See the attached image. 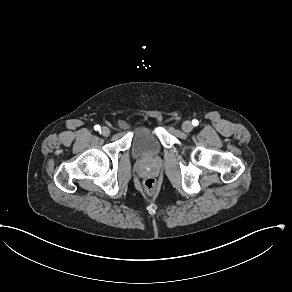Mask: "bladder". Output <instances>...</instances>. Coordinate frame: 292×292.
<instances>
[{"mask_svg":"<svg viewBox=\"0 0 292 292\" xmlns=\"http://www.w3.org/2000/svg\"><path fill=\"white\" fill-rule=\"evenodd\" d=\"M120 128L132 130L131 152L135 157H147L157 154L161 150L159 136L152 124L140 122L131 125L128 121H120Z\"/></svg>","mask_w":292,"mask_h":292,"instance_id":"bladder-1","label":"bladder"}]
</instances>
